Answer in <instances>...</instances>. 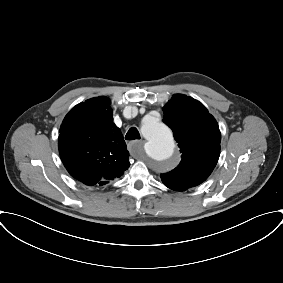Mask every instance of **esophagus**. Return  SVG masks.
<instances>
[{
  "instance_id": "obj_1",
  "label": "esophagus",
  "mask_w": 283,
  "mask_h": 283,
  "mask_svg": "<svg viewBox=\"0 0 283 283\" xmlns=\"http://www.w3.org/2000/svg\"><path fill=\"white\" fill-rule=\"evenodd\" d=\"M144 144V141H132L128 143V150L132 154H139V152L142 150V145Z\"/></svg>"
}]
</instances>
